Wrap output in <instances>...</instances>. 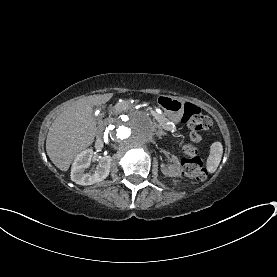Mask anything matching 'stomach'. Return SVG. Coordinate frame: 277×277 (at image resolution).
I'll return each instance as SVG.
<instances>
[{"mask_svg": "<svg viewBox=\"0 0 277 277\" xmlns=\"http://www.w3.org/2000/svg\"><path fill=\"white\" fill-rule=\"evenodd\" d=\"M158 105L164 110L168 119L174 123L180 121L183 113L185 103L176 97L161 95L157 99Z\"/></svg>", "mask_w": 277, "mask_h": 277, "instance_id": "0dacf381", "label": "stomach"}]
</instances>
